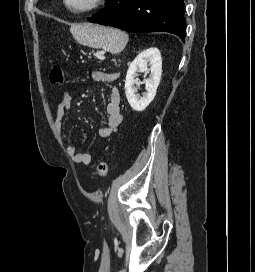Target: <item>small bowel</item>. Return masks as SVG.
<instances>
[{
  "instance_id": "1",
  "label": "small bowel",
  "mask_w": 255,
  "mask_h": 272,
  "mask_svg": "<svg viewBox=\"0 0 255 272\" xmlns=\"http://www.w3.org/2000/svg\"><path fill=\"white\" fill-rule=\"evenodd\" d=\"M92 79L97 82L109 83L114 81L118 74L116 72L94 71ZM120 92L117 88H113L109 94V100L106 106L107 121L105 126L99 129L98 134L102 138H108L116 133L122 123V115L120 113ZM73 101V94L70 91H65L55 110V127L61 133L63 129V117L66 111L70 108ZM73 160L80 164H89L91 157L88 153L77 150L75 143H71L68 147Z\"/></svg>"
}]
</instances>
